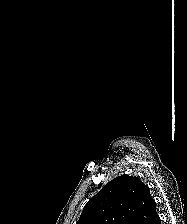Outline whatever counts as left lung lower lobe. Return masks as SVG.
<instances>
[{"label": "left lung lower lobe", "mask_w": 187, "mask_h": 224, "mask_svg": "<svg viewBox=\"0 0 187 224\" xmlns=\"http://www.w3.org/2000/svg\"><path fill=\"white\" fill-rule=\"evenodd\" d=\"M152 224H161V220H160L159 216L153 221Z\"/></svg>", "instance_id": "left-lung-lower-lobe-1"}]
</instances>
